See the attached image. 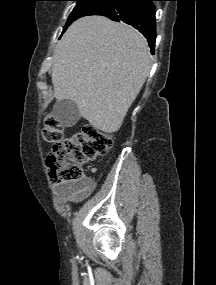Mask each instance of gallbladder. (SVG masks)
Returning a JSON list of instances; mask_svg holds the SVG:
<instances>
[{"label":"gallbladder","instance_id":"gallbladder-1","mask_svg":"<svg viewBox=\"0 0 216 285\" xmlns=\"http://www.w3.org/2000/svg\"><path fill=\"white\" fill-rule=\"evenodd\" d=\"M52 115L65 127H72L80 119L77 105L68 99L57 101L53 107Z\"/></svg>","mask_w":216,"mask_h":285}]
</instances>
